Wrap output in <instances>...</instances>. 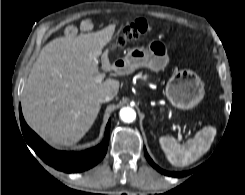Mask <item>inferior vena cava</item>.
<instances>
[{
    "label": "inferior vena cava",
    "instance_id": "1",
    "mask_svg": "<svg viewBox=\"0 0 245 195\" xmlns=\"http://www.w3.org/2000/svg\"><path fill=\"white\" fill-rule=\"evenodd\" d=\"M113 99L112 95L109 94H103L98 98V102L99 103H105V102H109Z\"/></svg>",
    "mask_w": 245,
    "mask_h": 195
}]
</instances>
